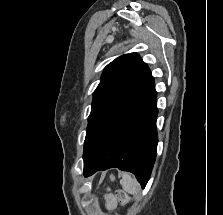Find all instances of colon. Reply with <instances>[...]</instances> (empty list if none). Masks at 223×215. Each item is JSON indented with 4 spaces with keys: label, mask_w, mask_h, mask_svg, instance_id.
Masks as SVG:
<instances>
[{
    "label": "colon",
    "mask_w": 223,
    "mask_h": 215,
    "mask_svg": "<svg viewBox=\"0 0 223 215\" xmlns=\"http://www.w3.org/2000/svg\"><path fill=\"white\" fill-rule=\"evenodd\" d=\"M114 197L115 200L120 204H127L130 202L128 194L122 189H117Z\"/></svg>",
    "instance_id": "5ec220e1"
}]
</instances>
